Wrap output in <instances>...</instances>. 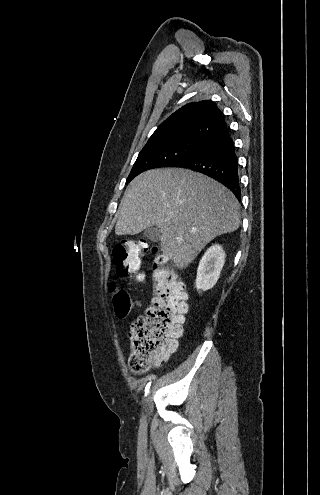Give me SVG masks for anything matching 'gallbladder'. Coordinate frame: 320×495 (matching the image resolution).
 I'll list each match as a JSON object with an SVG mask.
<instances>
[{"label": "gallbladder", "mask_w": 320, "mask_h": 495, "mask_svg": "<svg viewBox=\"0 0 320 495\" xmlns=\"http://www.w3.org/2000/svg\"><path fill=\"white\" fill-rule=\"evenodd\" d=\"M144 236L152 242H157L161 238V232L155 227H148L144 231Z\"/></svg>", "instance_id": "bac80fb5"}]
</instances>
